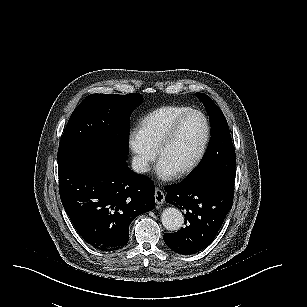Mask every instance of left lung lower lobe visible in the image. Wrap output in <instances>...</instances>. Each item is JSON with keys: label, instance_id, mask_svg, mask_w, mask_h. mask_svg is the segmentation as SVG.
Wrapping results in <instances>:
<instances>
[{"label": "left lung lower lobe", "instance_id": "1", "mask_svg": "<svg viewBox=\"0 0 307 307\" xmlns=\"http://www.w3.org/2000/svg\"><path fill=\"white\" fill-rule=\"evenodd\" d=\"M234 179L213 174L166 187V202L185 210L186 227L165 233L167 246L189 255L208 246L233 203Z\"/></svg>", "mask_w": 307, "mask_h": 307}]
</instances>
